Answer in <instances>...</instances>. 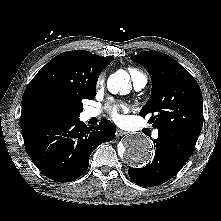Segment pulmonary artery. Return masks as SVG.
I'll list each match as a JSON object with an SVG mask.
<instances>
[{
	"label": "pulmonary artery",
	"mask_w": 221,
	"mask_h": 221,
	"mask_svg": "<svg viewBox=\"0 0 221 221\" xmlns=\"http://www.w3.org/2000/svg\"><path fill=\"white\" fill-rule=\"evenodd\" d=\"M134 83V87L136 90H141L143 88L146 87L147 83H148V79L145 75H141V76H136L135 79L133 80ZM99 114V112L96 109H87L85 111V116L87 118H92V117H96ZM153 137L157 138L158 137V132L155 131L153 133Z\"/></svg>",
	"instance_id": "e3ab8cb5"
}]
</instances>
